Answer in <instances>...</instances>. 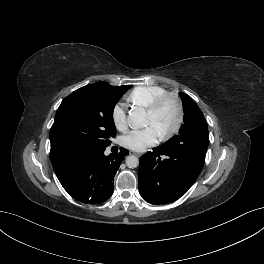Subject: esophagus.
I'll list each match as a JSON object with an SVG mask.
<instances>
[{"label":"esophagus","mask_w":264,"mask_h":264,"mask_svg":"<svg viewBox=\"0 0 264 264\" xmlns=\"http://www.w3.org/2000/svg\"><path fill=\"white\" fill-rule=\"evenodd\" d=\"M130 154H133V155H136V156H140V154L136 153V152H130Z\"/></svg>","instance_id":"34e87169"}]
</instances>
